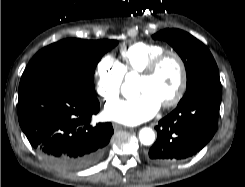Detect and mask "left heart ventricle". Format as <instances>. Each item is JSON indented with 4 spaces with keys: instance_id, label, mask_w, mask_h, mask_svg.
Instances as JSON below:
<instances>
[{
    "instance_id": "obj_1",
    "label": "left heart ventricle",
    "mask_w": 245,
    "mask_h": 187,
    "mask_svg": "<svg viewBox=\"0 0 245 187\" xmlns=\"http://www.w3.org/2000/svg\"><path fill=\"white\" fill-rule=\"evenodd\" d=\"M180 82V70L176 61L166 59L153 76L138 79V93L149 92L162 104L171 98Z\"/></svg>"
}]
</instances>
